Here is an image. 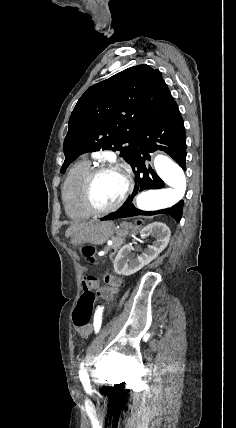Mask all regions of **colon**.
<instances>
[{
  "label": "colon",
  "instance_id": "colon-1",
  "mask_svg": "<svg viewBox=\"0 0 236 428\" xmlns=\"http://www.w3.org/2000/svg\"><path fill=\"white\" fill-rule=\"evenodd\" d=\"M82 253L89 261L95 262V252L92 246L82 247ZM82 285L84 292L73 313V324L79 331L84 330L90 322L96 299L94 290L98 287V280L95 276L85 275Z\"/></svg>",
  "mask_w": 236,
  "mask_h": 428
}]
</instances>
